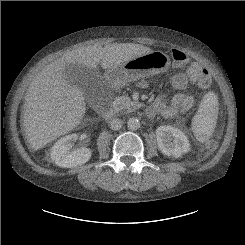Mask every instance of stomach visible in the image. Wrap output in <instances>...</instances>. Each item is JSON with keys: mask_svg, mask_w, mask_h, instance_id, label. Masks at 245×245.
Instances as JSON below:
<instances>
[{"mask_svg": "<svg viewBox=\"0 0 245 245\" xmlns=\"http://www.w3.org/2000/svg\"><path fill=\"white\" fill-rule=\"evenodd\" d=\"M170 58L161 51L138 56L127 63L111 67L105 78L114 88H120L131 81L166 72L170 67Z\"/></svg>", "mask_w": 245, "mask_h": 245, "instance_id": "1", "label": "stomach"}]
</instances>
